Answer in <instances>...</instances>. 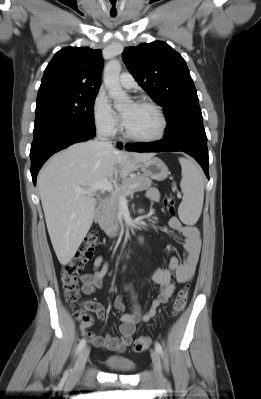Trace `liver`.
I'll return each mask as SVG.
<instances>
[{
	"instance_id": "1",
	"label": "liver",
	"mask_w": 261,
	"mask_h": 399,
	"mask_svg": "<svg viewBox=\"0 0 261 399\" xmlns=\"http://www.w3.org/2000/svg\"><path fill=\"white\" fill-rule=\"evenodd\" d=\"M153 153L119 151L105 142L75 143L52 157L37 185L48 233L59 262L68 264L86 237L95 214L92 194L77 193L107 178L128 175Z\"/></svg>"
}]
</instances>
